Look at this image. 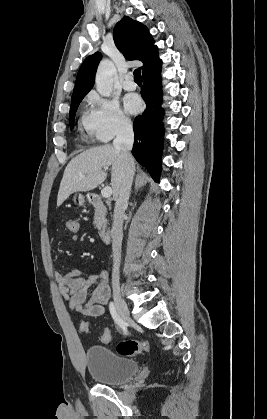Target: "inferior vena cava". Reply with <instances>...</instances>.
Masks as SVG:
<instances>
[{
    "label": "inferior vena cava",
    "instance_id": "inferior-vena-cava-1",
    "mask_svg": "<svg viewBox=\"0 0 267 419\" xmlns=\"http://www.w3.org/2000/svg\"><path fill=\"white\" fill-rule=\"evenodd\" d=\"M133 142L134 133L131 121L121 120L116 131V138L113 141V146L120 151V155L123 160V174L118 187V196L116 198L111 230L113 253V289L119 288V268L123 239V215L128 206L130 190L135 172V163L130 152L133 146Z\"/></svg>",
    "mask_w": 267,
    "mask_h": 419
}]
</instances>
